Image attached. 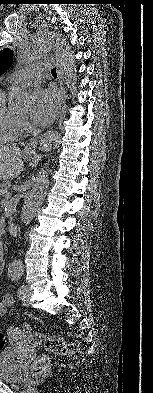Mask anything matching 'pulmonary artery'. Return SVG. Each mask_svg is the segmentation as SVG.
<instances>
[{"instance_id":"e3ab8cb5","label":"pulmonary artery","mask_w":153,"mask_h":393,"mask_svg":"<svg viewBox=\"0 0 153 393\" xmlns=\"http://www.w3.org/2000/svg\"><path fill=\"white\" fill-rule=\"evenodd\" d=\"M43 62H38L25 68L23 72L13 75L11 77V83L18 86H28L37 84L41 78V67Z\"/></svg>"}]
</instances>
